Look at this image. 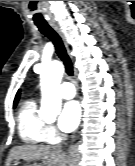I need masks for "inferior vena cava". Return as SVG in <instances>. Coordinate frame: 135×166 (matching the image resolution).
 I'll return each mask as SVG.
<instances>
[{"label":"inferior vena cava","mask_w":135,"mask_h":166,"mask_svg":"<svg viewBox=\"0 0 135 166\" xmlns=\"http://www.w3.org/2000/svg\"><path fill=\"white\" fill-rule=\"evenodd\" d=\"M66 139H67V136H66V135H63V137H62L63 142H64Z\"/></svg>","instance_id":"obj_1"}]
</instances>
